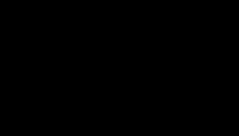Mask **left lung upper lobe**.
Instances as JSON below:
<instances>
[{"mask_svg":"<svg viewBox=\"0 0 239 136\" xmlns=\"http://www.w3.org/2000/svg\"><path fill=\"white\" fill-rule=\"evenodd\" d=\"M182 52L202 54L198 32L191 23L186 25L182 47L179 50V53Z\"/></svg>","mask_w":239,"mask_h":136,"instance_id":"left-lung-upper-lobe-1","label":"left lung upper lobe"}]
</instances>
